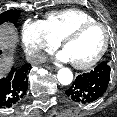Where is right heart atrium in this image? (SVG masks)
I'll return each mask as SVG.
<instances>
[{
  "instance_id": "obj_1",
  "label": "right heart atrium",
  "mask_w": 117,
  "mask_h": 117,
  "mask_svg": "<svg viewBox=\"0 0 117 117\" xmlns=\"http://www.w3.org/2000/svg\"><path fill=\"white\" fill-rule=\"evenodd\" d=\"M21 41L27 58L34 63L41 62L44 53L52 51L59 44L43 21H25Z\"/></svg>"
}]
</instances>
